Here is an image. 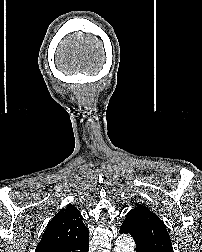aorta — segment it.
Masks as SVG:
<instances>
[{
	"mask_svg": "<svg viewBox=\"0 0 202 252\" xmlns=\"http://www.w3.org/2000/svg\"><path fill=\"white\" fill-rule=\"evenodd\" d=\"M114 252H135L134 240L129 235L120 236L114 247Z\"/></svg>",
	"mask_w": 202,
	"mask_h": 252,
	"instance_id": "1",
	"label": "aorta"
}]
</instances>
